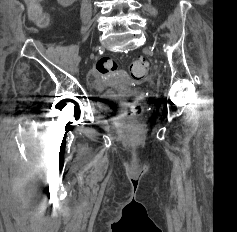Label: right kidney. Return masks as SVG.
<instances>
[{
  "label": "right kidney",
  "instance_id": "right-kidney-1",
  "mask_svg": "<svg viewBox=\"0 0 237 232\" xmlns=\"http://www.w3.org/2000/svg\"><path fill=\"white\" fill-rule=\"evenodd\" d=\"M57 1L63 7H68L75 2V0H57Z\"/></svg>",
  "mask_w": 237,
  "mask_h": 232
}]
</instances>
